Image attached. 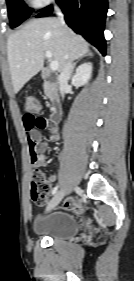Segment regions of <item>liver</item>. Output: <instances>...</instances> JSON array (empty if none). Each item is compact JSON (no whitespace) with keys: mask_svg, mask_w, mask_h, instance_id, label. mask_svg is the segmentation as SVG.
Instances as JSON below:
<instances>
[{"mask_svg":"<svg viewBox=\"0 0 134 281\" xmlns=\"http://www.w3.org/2000/svg\"><path fill=\"white\" fill-rule=\"evenodd\" d=\"M52 53L62 71L68 60H75L89 52V44L58 19L40 18L26 23L7 40V58L14 93L35 76L44 65L45 53Z\"/></svg>","mask_w":134,"mask_h":281,"instance_id":"6515ba94","label":"liver"}]
</instances>
